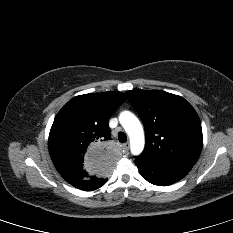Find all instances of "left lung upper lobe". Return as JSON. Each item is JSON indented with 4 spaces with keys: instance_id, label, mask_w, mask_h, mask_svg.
Listing matches in <instances>:
<instances>
[{
    "instance_id": "obj_1",
    "label": "left lung upper lobe",
    "mask_w": 233,
    "mask_h": 233,
    "mask_svg": "<svg viewBox=\"0 0 233 233\" xmlns=\"http://www.w3.org/2000/svg\"><path fill=\"white\" fill-rule=\"evenodd\" d=\"M127 98L145 127V149L138 157L157 164L193 166L203 143L200 119L181 96L160 90H132Z\"/></svg>"
}]
</instances>
